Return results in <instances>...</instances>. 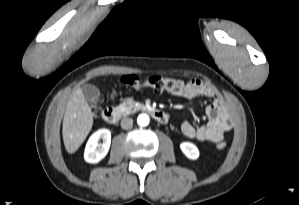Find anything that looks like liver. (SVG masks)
I'll return each mask as SVG.
<instances>
[{
	"label": "liver",
	"instance_id": "6515ba94",
	"mask_svg": "<svg viewBox=\"0 0 299 205\" xmlns=\"http://www.w3.org/2000/svg\"><path fill=\"white\" fill-rule=\"evenodd\" d=\"M93 113L81 88H77L67 104L63 118V141L68 153H74L92 129Z\"/></svg>",
	"mask_w": 299,
	"mask_h": 205
}]
</instances>
